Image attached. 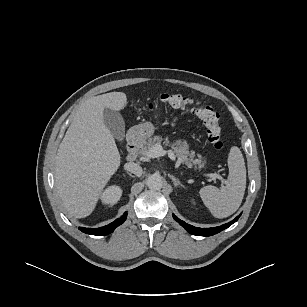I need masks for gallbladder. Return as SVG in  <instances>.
Instances as JSON below:
<instances>
[{"label":"gallbladder","mask_w":307,"mask_h":307,"mask_svg":"<svg viewBox=\"0 0 307 307\" xmlns=\"http://www.w3.org/2000/svg\"><path fill=\"white\" fill-rule=\"evenodd\" d=\"M103 122L116 139L123 140L125 137V123L119 112L105 108L103 111Z\"/></svg>","instance_id":"gallbladder-1"}]
</instances>
